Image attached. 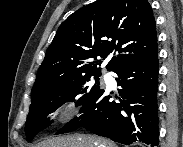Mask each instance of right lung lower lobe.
<instances>
[{
  "label": "right lung lower lobe",
  "mask_w": 183,
  "mask_h": 147,
  "mask_svg": "<svg viewBox=\"0 0 183 147\" xmlns=\"http://www.w3.org/2000/svg\"><path fill=\"white\" fill-rule=\"evenodd\" d=\"M158 54L133 60L114 72L123 100L112 101L104 89L98 90L74 117L56 134L85 128L122 144L142 141L158 145Z\"/></svg>",
  "instance_id": "98d812e1"
}]
</instances>
